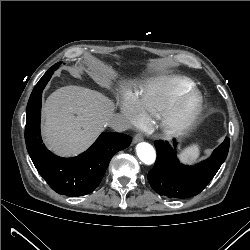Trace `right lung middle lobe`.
Instances as JSON below:
<instances>
[{"instance_id": "obj_1", "label": "right lung middle lobe", "mask_w": 250, "mask_h": 250, "mask_svg": "<svg viewBox=\"0 0 250 250\" xmlns=\"http://www.w3.org/2000/svg\"><path fill=\"white\" fill-rule=\"evenodd\" d=\"M57 67H59L60 63L55 64Z\"/></svg>"}]
</instances>
